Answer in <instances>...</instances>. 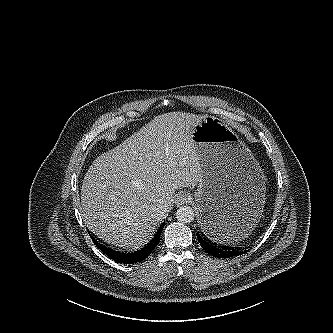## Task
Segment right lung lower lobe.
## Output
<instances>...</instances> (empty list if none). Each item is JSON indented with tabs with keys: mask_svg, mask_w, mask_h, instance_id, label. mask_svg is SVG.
I'll list each match as a JSON object with an SVG mask.
<instances>
[{
	"mask_svg": "<svg viewBox=\"0 0 333 333\" xmlns=\"http://www.w3.org/2000/svg\"><path fill=\"white\" fill-rule=\"evenodd\" d=\"M163 228H164V223L160 226V228L157 230L156 234L154 235L153 239L150 241V243L146 247H144L141 250L135 251L133 253H122L119 251H115L111 248H108V247L100 244L92 236H91V239H92L93 243L103 253H105L110 259H112L118 263L133 264V263L143 261L147 258V256L152 252V250L159 243L160 235L162 233Z\"/></svg>",
	"mask_w": 333,
	"mask_h": 333,
	"instance_id": "obj_1",
	"label": "right lung lower lobe"
}]
</instances>
